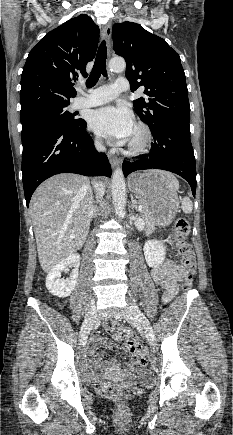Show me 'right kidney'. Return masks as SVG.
<instances>
[{
	"instance_id": "1",
	"label": "right kidney",
	"mask_w": 233,
	"mask_h": 435,
	"mask_svg": "<svg viewBox=\"0 0 233 435\" xmlns=\"http://www.w3.org/2000/svg\"><path fill=\"white\" fill-rule=\"evenodd\" d=\"M79 265V254H72L58 263L46 277V288L49 292L60 298L68 297L76 286ZM69 266L74 267L70 277L67 279H61V272L66 270Z\"/></svg>"
}]
</instances>
